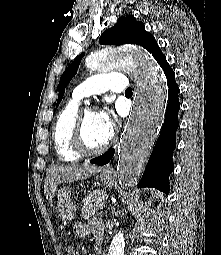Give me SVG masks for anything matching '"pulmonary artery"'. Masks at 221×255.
<instances>
[{
  "label": "pulmonary artery",
  "mask_w": 221,
  "mask_h": 255,
  "mask_svg": "<svg viewBox=\"0 0 221 255\" xmlns=\"http://www.w3.org/2000/svg\"><path fill=\"white\" fill-rule=\"evenodd\" d=\"M127 88L125 75L106 73L92 76L79 84L73 92V100L78 102L92 95H100L107 91L123 92Z\"/></svg>",
  "instance_id": "1"
}]
</instances>
